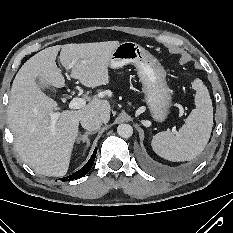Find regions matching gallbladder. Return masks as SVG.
I'll return each mask as SVG.
<instances>
[{
  "label": "gallbladder",
  "mask_w": 233,
  "mask_h": 233,
  "mask_svg": "<svg viewBox=\"0 0 233 233\" xmlns=\"http://www.w3.org/2000/svg\"><path fill=\"white\" fill-rule=\"evenodd\" d=\"M36 82L42 88H44L46 86V83L43 82L40 78H36Z\"/></svg>",
  "instance_id": "obj_1"
}]
</instances>
